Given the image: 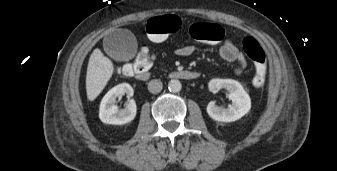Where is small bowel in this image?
<instances>
[{
    "label": "small bowel",
    "mask_w": 337,
    "mask_h": 171,
    "mask_svg": "<svg viewBox=\"0 0 337 171\" xmlns=\"http://www.w3.org/2000/svg\"><path fill=\"white\" fill-rule=\"evenodd\" d=\"M194 47L191 45H183L177 48L176 54L179 56H189L193 53ZM221 58L227 62H237L238 67L236 73H242L247 67V59L239 48L230 40L225 39L219 49Z\"/></svg>",
    "instance_id": "1"
}]
</instances>
